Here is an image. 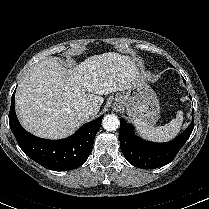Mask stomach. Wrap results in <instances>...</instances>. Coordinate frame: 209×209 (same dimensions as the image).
<instances>
[{"label":"stomach","instance_id":"0dacf381","mask_svg":"<svg viewBox=\"0 0 209 209\" xmlns=\"http://www.w3.org/2000/svg\"><path fill=\"white\" fill-rule=\"evenodd\" d=\"M114 105L126 111L135 120L154 125L160 118V105L156 93L140 76L125 92L116 95Z\"/></svg>","mask_w":209,"mask_h":209}]
</instances>
